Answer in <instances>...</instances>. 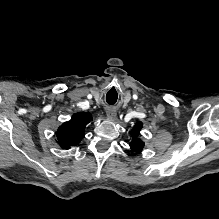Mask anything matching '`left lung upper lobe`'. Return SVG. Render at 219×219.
<instances>
[{"label":"left lung upper lobe","mask_w":219,"mask_h":219,"mask_svg":"<svg viewBox=\"0 0 219 219\" xmlns=\"http://www.w3.org/2000/svg\"><path fill=\"white\" fill-rule=\"evenodd\" d=\"M141 128H142V122L138 121L132 130L133 140L129 144L130 148L136 153L141 152L144 147V142L138 138L139 131L141 130Z\"/></svg>","instance_id":"1"}]
</instances>
